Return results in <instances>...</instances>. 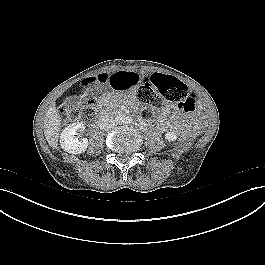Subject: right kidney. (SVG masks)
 <instances>
[{"instance_id": "right-kidney-1", "label": "right kidney", "mask_w": 265, "mask_h": 265, "mask_svg": "<svg viewBox=\"0 0 265 265\" xmlns=\"http://www.w3.org/2000/svg\"><path fill=\"white\" fill-rule=\"evenodd\" d=\"M84 131L85 125L82 122L69 124L61 133L60 145L68 153L80 154L86 151L88 147V139L83 138L78 140L75 137L76 131Z\"/></svg>"}]
</instances>
